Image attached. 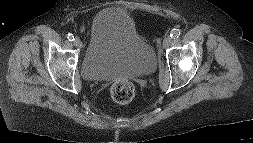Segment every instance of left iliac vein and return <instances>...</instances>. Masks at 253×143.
<instances>
[{"instance_id":"obj_1","label":"left iliac vein","mask_w":253,"mask_h":143,"mask_svg":"<svg viewBox=\"0 0 253 143\" xmlns=\"http://www.w3.org/2000/svg\"><path fill=\"white\" fill-rule=\"evenodd\" d=\"M171 42H172V39L171 37L168 36L164 38L162 45L164 48H167L170 46Z\"/></svg>"}]
</instances>
